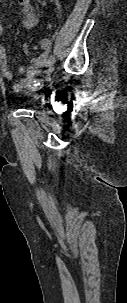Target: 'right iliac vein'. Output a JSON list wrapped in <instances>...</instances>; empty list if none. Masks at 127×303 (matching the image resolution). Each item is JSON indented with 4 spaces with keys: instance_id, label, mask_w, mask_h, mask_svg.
<instances>
[{
    "instance_id": "obj_1",
    "label": "right iliac vein",
    "mask_w": 127,
    "mask_h": 303,
    "mask_svg": "<svg viewBox=\"0 0 127 303\" xmlns=\"http://www.w3.org/2000/svg\"><path fill=\"white\" fill-rule=\"evenodd\" d=\"M52 72H53V67H49V68L45 71L46 77H50V75L52 74Z\"/></svg>"
}]
</instances>
